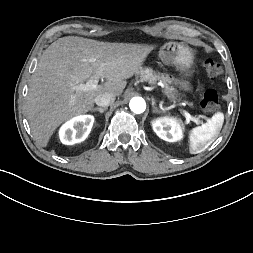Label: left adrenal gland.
<instances>
[{
  "label": "left adrenal gland",
  "mask_w": 253,
  "mask_h": 253,
  "mask_svg": "<svg viewBox=\"0 0 253 253\" xmlns=\"http://www.w3.org/2000/svg\"><path fill=\"white\" fill-rule=\"evenodd\" d=\"M153 107V113H160V111L158 110V108L154 105V102L152 104Z\"/></svg>",
  "instance_id": "obj_1"
}]
</instances>
